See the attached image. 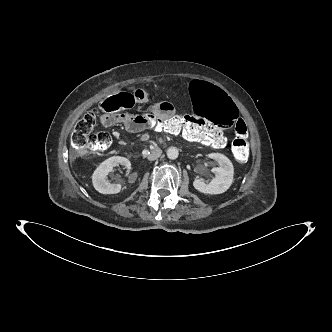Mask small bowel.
<instances>
[{"instance_id":"small-bowel-1","label":"small bowel","mask_w":332,"mask_h":332,"mask_svg":"<svg viewBox=\"0 0 332 332\" xmlns=\"http://www.w3.org/2000/svg\"><path fill=\"white\" fill-rule=\"evenodd\" d=\"M131 96L135 102L141 105L146 104L149 101L148 94L140 88L135 89ZM150 109L154 111L155 116L160 115L164 119H172L175 116V108L170 102H156ZM97 122L99 125L107 128H112L114 126L117 128L125 127L130 133H139L150 129V125L142 123V117L140 114L131 111L101 113L97 117Z\"/></svg>"}]
</instances>
